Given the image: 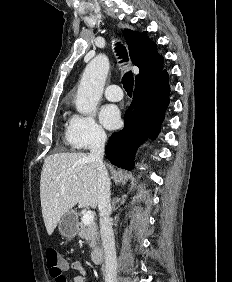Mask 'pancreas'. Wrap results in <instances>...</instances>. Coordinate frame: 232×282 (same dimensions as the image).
<instances>
[{
  "label": "pancreas",
  "mask_w": 232,
  "mask_h": 282,
  "mask_svg": "<svg viewBox=\"0 0 232 282\" xmlns=\"http://www.w3.org/2000/svg\"><path fill=\"white\" fill-rule=\"evenodd\" d=\"M79 226L78 235L89 243L90 248H95L97 246V242L99 241L97 224L92 222L91 224L86 225L81 221Z\"/></svg>",
  "instance_id": "cf45deb5"
}]
</instances>
